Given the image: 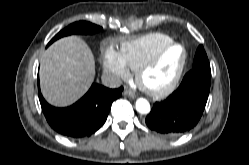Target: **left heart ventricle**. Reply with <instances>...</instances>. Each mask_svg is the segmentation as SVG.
Masks as SVG:
<instances>
[{"mask_svg": "<svg viewBox=\"0 0 249 165\" xmlns=\"http://www.w3.org/2000/svg\"><path fill=\"white\" fill-rule=\"evenodd\" d=\"M182 56L180 48L172 49L163 59L162 63L148 72L145 76V82L151 86H157L166 83L175 70L176 65Z\"/></svg>", "mask_w": 249, "mask_h": 165, "instance_id": "b2bd125f", "label": "left heart ventricle"}]
</instances>
